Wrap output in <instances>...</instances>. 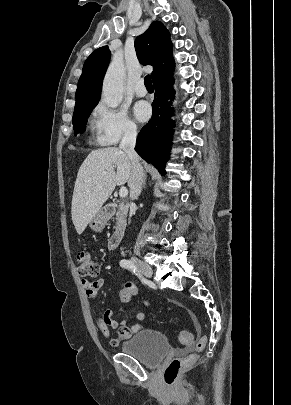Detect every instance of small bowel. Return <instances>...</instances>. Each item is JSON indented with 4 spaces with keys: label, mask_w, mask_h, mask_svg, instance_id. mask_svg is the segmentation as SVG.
<instances>
[{
    "label": "small bowel",
    "mask_w": 291,
    "mask_h": 405,
    "mask_svg": "<svg viewBox=\"0 0 291 405\" xmlns=\"http://www.w3.org/2000/svg\"><path fill=\"white\" fill-rule=\"evenodd\" d=\"M81 284L85 289L86 296L89 299H96L98 291L105 284V278L101 277L94 281L82 279ZM189 314L195 327L199 328L195 315L191 312ZM136 318L138 321H143L145 319V314L143 312H138ZM97 323L102 335L109 340V343L112 346H118L122 341L130 338L133 334L137 333L141 329L140 323H137L132 327H128L125 320L118 322L115 320L114 312L111 309H107L101 315H99L97 318ZM110 328L117 331L116 336H111Z\"/></svg>",
    "instance_id": "1"
}]
</instances>
